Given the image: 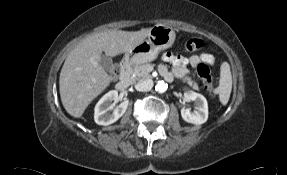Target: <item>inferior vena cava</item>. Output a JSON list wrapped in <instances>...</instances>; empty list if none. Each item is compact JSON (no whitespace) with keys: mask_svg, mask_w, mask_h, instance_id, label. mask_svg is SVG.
Returning a JSON list of instances; mask_svg holds the SVG:
<instances>
[{"mask_svg":"<svg viewBox=\"0 0 287 175\" xmlns=\"http://www.w3.org/2000/svg\"><path fill=\"white\" fill-rule=\"evenodd\" d=\"M152 87L153 81L151 79L141 80L135 85L138 91H149Z\"/></svg>","mask_w":287,"mask_h":175,"instance_id":"inferior-vena-cava-1","label":"inferior vena cava"}]
</instances>
